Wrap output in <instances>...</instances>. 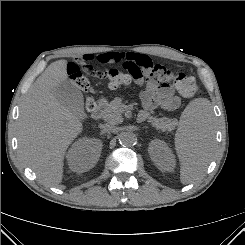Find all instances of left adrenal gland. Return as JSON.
<instances>
[{
	"mask_svg": "<svg viewBox=\"0 0 245 245\" xmlns=\"http://www.w3.org/2000/svg\"><path fill=\"white\" fill-rule=\"evenodd\" d=\"M144 128H148V127H147V126H145V127H143V129H144Z\"/></svg>",
	"mask_w": 245,
	"mask_h": 245,
	"instance_id": "left-adrenal-gland-1",
	"label": "left adrenal gland"
}]
</instances>
